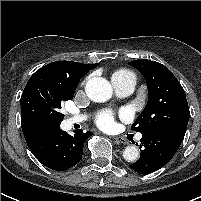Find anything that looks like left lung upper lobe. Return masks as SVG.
<instances>
[{
  "instance_id": "obj_1",
  "label": "left lung upper lobe",
  "mask_w": 201,
  "mask_h": 201,
  "mask_svg": "<svg viewBox=\"0 0 201 201\" xmlns=\"http://www.w3.org/2000/svg\"><path fill=\"white\" fill-rule=\"evenodd\" d=\"M129 64L142 73L148 87L147 105L131 129L144 133L168 124L187 126L189 107L185 91L171 71L151 60L138 59Z\"/></svg>"
}]
</instances>
